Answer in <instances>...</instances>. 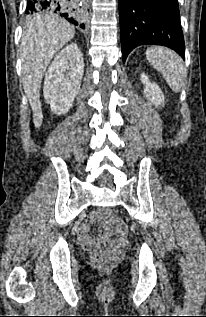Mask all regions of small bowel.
Instances as JSON below:
<instances>
[{
    "label": "small bowel",
    "mask_w": 206,
    "mask_h": 317,
    "mask_svg": "<svg viewBox=\"0 0 206 317\" xmlns=\"http://www.w3.org/2000/svg\"><path fill=\"white\" fill-rule=\"evenodd\" d=\"M98 220V215L96 213H91L88 219L78 228V235L81 243L85 245L90 241L89 229L93 222ZM105 234L107 237L119 241H123L126 238V228L123 224L116 226L115 230L106 229Z\"/></svg>",
    "instance_id": "small-bowel-1"
}]
</instances>
